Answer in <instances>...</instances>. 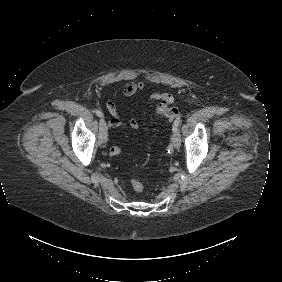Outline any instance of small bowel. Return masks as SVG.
Masks as SVG:
<instances>
[{"mask_svg": "<svg viewBox=\"0 0 282 282\" xmlns=\"http://www.w3.org/2000/svg\"><path fill=\"white\" fill-rule=\"evenodd\" d=\"M145 81L140 80L138 82L131 81L128 82L123 89V94L126 98L132 99L138 95V93L144 88ZM175 101V96L169 93H159L154 92L150 95L148 99V104L150 106L158 107L162 104L172 105ZM106 108L111 114L112 118L109 122V126L113 128H124L127 123L133 129L139 128V122L135 119L133 114H130L127 121L123 115H121L113 101H108L106 103Z\"/></svg>", "mask_w": 282, "mask_h": 282, "instance_id": "1", "label": "small bowel"}]
</instances>
